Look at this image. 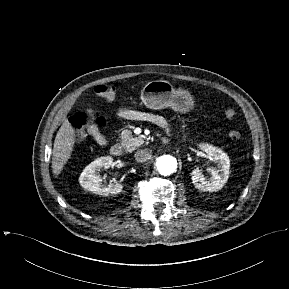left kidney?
<instances>
[{"label": "left kidney", "mask_w": 289, "mask_h": 289, "mask_svg": "<svg viewBox=\"0 0 289 289\" xmlns=\"http://www.w3.org/2000/svg\"><path fill=\"white\" fill-rule=\"evenodd\" d=\"M199 147L217 163V169L211 170L210 178H206L198 168L194 169L191 173L192 183L194 184L195 188L201 191H219L225 185L229 177V157L222 150L212 145L201 144Z\"/></svg>", "instance_id": "obj_1"}]
</instances>
